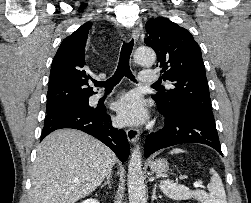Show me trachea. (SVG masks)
<instances>
[{"label":"trachea","mask_w":251,"mask_h":203,"mask_svg":"<svg viewBox=\"0 0 251 203\" xmlns=\"http://www.w3.org/2000/svg\"><path fill=\"white\" fill-rule=\"evenodd\" d=\"M133 45H134L133 39L123 44L120 52L118 67L114 75L105 82H95L94 84L96 87H104L105 90H112L113 87L117 85L124 76L128 77L132 81H135V78L129 66V60H130V55L132 53ZM153 85L158 86L160 84H153Z\"/></svg>","instance_id":"obj_1"}]
</instances>
